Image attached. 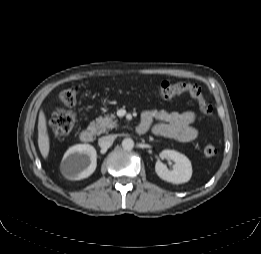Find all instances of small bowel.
<instances>
[{
	"mask_svg": "<svg viewBox=\"0 0 261 254\" xmlns=\"http://www.w3.org/2000/svg\"><path fill=\"white\" fill-rule=\"evenodd\" d=\"M196 120L197 114L193 110L185 112L150 110L143 113L139 126L143 127L141 133L147 132L152 127L155 135L186 143L198 137V131L192 126Z\"/></svg>",
	"mask_w": 261,
	"mask_h": 254,
	"instance_id": "small-bowel-1",
	"label": "small bowel"
}]
</instances>
